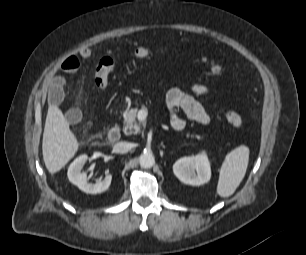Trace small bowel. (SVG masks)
Listing matches in <instances>:
<instances>
[{
  "label": "small bowel",
  "instance_id": "obj_1",
  "mask_svg": "<svg viewBox=\"0 0 306 255\" xmlns=\"http://www.w3.org/2000/svg\"><path fill=\"white\" fill-rule=\"evenodd\" d=\"M79 54L86 59L90 57L91 52L85 48ZM79 66L78 58L71 55L62 61L59 71L53 72L48 76L49 98L53 105H59L63 100L65 78L62 74L74 73ZM209 93V87L203 83L192 84L189 92L180 88L170 89L166 94L165 103L171 127L178 131L185 127L184 119L177 113L178 109H181L190 120L202 125H208L211 122V116L196 100L195 96H208ZM80 118L81 113L78 109H70L66 112V119L70 124H76Z\"/></svg>",
  "mask_w": 306,
  "mask_h": 255
}]
</instances>
